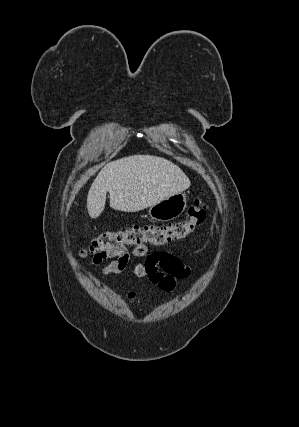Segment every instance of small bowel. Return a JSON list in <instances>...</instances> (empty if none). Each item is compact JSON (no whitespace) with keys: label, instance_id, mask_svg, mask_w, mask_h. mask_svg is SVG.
I'll list each match as a JSON object with an SVG mask.
<instances>
[{"label":"small bowel","instance_id":"small-bowel-1","mask_svg":"<svg viewBox=\"0 0 299 427\" xmlns=\"http://www.w3.org/2000/svg\"><path fill=\"white\" fill-rule=\"evenodd\" d=\"M132 256L146 258L144 263L132 265V272L137 278V283L148 278L151 283L163 291H172L177 280L187 279L191 274V268L171 253L164 251L149 253L145 245L135 246L132 252L125 250L115 255V259L103 266L102 273L110 275L124 272L130 265ZM127 297L130 300L134 299L135 292L129 291Z\"/></svg>","mask_w":299,"mask_h":427}]
</instances>
